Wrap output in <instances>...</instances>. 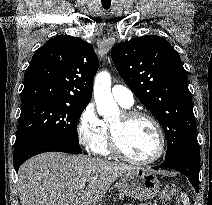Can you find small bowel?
Instances as JSON below:
<instances>
[{
	"label": "small bowel",
	"instance_id": "c3829d8e",
	"mask_svg": "<svg viewBox=\"0 0 212 205\" xmlns=\"http://www.w3.org/2000/svg\"><path fill=\"white\" fill-rule=\"evenodd\" d=\"M129 205V204H127ZM141 205H156V204H153V203H145V204H141Z\"/></svg>",
	"mask_w": 212,
	"mask_h": 205
}]
</instances>
